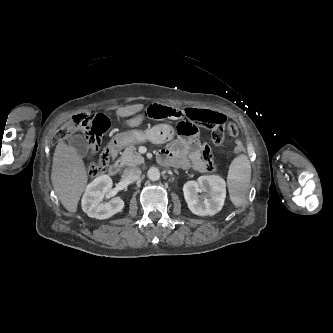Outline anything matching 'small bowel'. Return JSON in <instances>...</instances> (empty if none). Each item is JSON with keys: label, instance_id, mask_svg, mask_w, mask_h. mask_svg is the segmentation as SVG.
I'll use <instances>...</instances> for the list:
<instances>
[{"label": "small bowel", "instance_id": "obj_1", "mask_svg": "<svg viewBox=\"0 0 333 333\" xmlns=\"http://www.w3.org/2000/svg\"><path fill=\"white\" fill-rule=\"evenodd\" d=\"M204 115L202 122L208 124L213 122H224L225 116L218 111L208 109H196ZM128 125L140 124L138 117L128 120ZM201 143L195 137H183L169 143L159 154V161L166 165L193 169L198 172H205L206 166L201 158Z\"/></svg>", "mask_w": 333, "mask_h": 333}]
</instances>
